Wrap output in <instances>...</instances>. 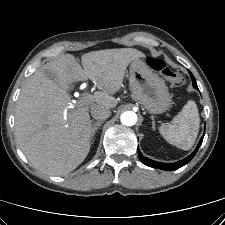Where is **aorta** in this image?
Wrapping results in <instances>:
<instances>
[{"instance_id": "1", "label": "aorta", "mask_w": 225, "mask_h": 225, "mask_svg": "<svg viewBox=\"0 0 225 225\" xmlns=\"http://www.w3.org/2000/svg\"><path fill=\"white\" fill-rule=\"evenodd\" d=\"M120 120L125 126H133L137 122V115L133 111H125L121 114Z\"/></svg>"}]
</instances>
